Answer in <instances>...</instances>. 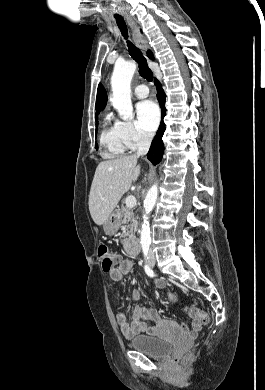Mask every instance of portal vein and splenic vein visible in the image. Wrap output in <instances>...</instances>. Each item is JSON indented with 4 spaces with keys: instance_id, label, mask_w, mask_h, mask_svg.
I'll return each instance as SVG.
<instances>
[{
    "instance_id": "obj_1",
    "label": "portal vein and splenic vein",
    "mask_w": 265,
    "mask_h": 390,
    "mask_svg": "<svg viewBox=\"0 0 265 390\" xmlns=\"http://www.w3.org/2000/svg\"><path fill=\"white\" fill-rule=\"evenodd\" d=\"M125 203L127 207L133 208L136 205V198L134 196H128Z\"/></svg>"
}]
</instances>
